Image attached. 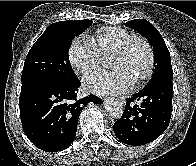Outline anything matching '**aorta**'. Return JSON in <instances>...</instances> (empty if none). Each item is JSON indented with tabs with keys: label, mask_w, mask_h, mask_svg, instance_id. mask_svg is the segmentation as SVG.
<instances>
[{
	"label": "aorta",
	"mask_w": 196,
	"mask_h": 166,
	"mask_svg": "<svg viewBox=\"0 0 196 166\" xmlns=\"http://www.w3.org/2000/svg\"><path fill=\"white\" fill-rule=\"evenodd\" d=\"M104 107L109 116L119 119L123 115L124 107L122 103L114 98L108 99Z\"/></svg>",
	"instance_id": "1"
}]
</instances>
